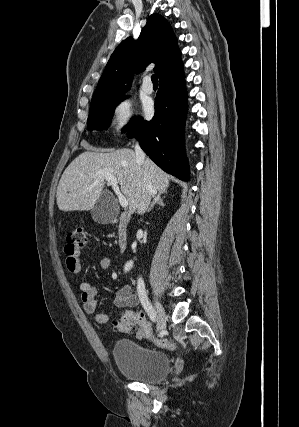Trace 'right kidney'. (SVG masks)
<instances>
[{
	"instance_id": "1",
	"label": "right kidney",
	"mask_w": 299,
	"mask_h": 427,
	"mask_svg": "<svg viewBox=\"0 0 299 427\" xmlns=\"http://www.w3.org/2000/svg\"><path fill=\"white\" fill-rule=\"evenodd\" d=\"M132 267H133V261H128L124 266V271L128 272L132 269Z\"/></svg>"
}]
</instances>
